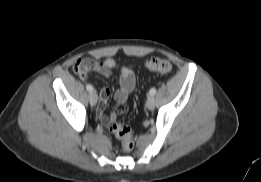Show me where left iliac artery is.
<instances>
[{
    "label": "left iliac artery",
    "instance_id": "1",
    "mask_svg": "<svg viewBox=\"0 0 261 182\" xmlns=\"http://www.w3.org/2000/svg\"><path fill=\"white\" fill-rule=\"evenodd\" d=\"M149 93H150V95L154 96L156 94V89L151 88Z\"/></svg>",
    "mask_w": 261,
    "mask_h": 182
}]
</instances>
